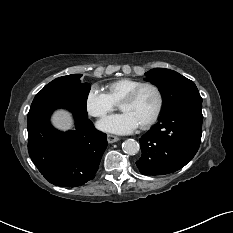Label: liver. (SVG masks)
Wrapping results in <instances>:
<instances>
[{"mask_svg": "<svg viewBox=\"0 0 233 233\" xmlns=\"http://www.w3.org/2000/svg\"><path fill=\"white\" fill-rule=\"evenodd\" d=\"M51 120L53 126L61 131L69 130L73 126L72 114L65 109L56 110L53 113Z\"/></svg>", "mask_w": 233, "mask_h": 233, "instance_id": "6515ba94", "label": "liver"}]
</instances>
